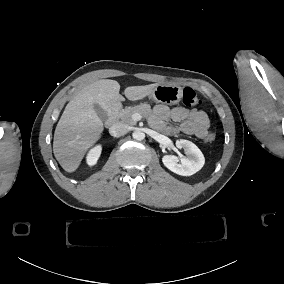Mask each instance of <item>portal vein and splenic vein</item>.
Listing matches in <instances>:
<instances>
[{"label": "portal vein and splenic vein", "instance_id": "portal-vein-and-splenic-vein-1", "mask_svg": "<svg viewBox=\"0 0 284 284\" xmlns=\"http://www.w3.org/2000/svg\"><path fill=\"white\" fill-rule=\"evenodd\" d=\"M142 117L143 116L141 114L134 113V114H132L131 119L136 123V122L142 120Z\"/></svg>", "mask_w": 284, "mask_h": 284}]
</instances>
